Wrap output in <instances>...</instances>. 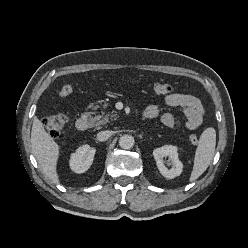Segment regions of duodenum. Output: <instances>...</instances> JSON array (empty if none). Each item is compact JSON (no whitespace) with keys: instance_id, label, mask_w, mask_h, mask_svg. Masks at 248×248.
I'll list each match as a JSON object with an SVG mask.
<instances>
[{"instance_id":"obj_1","label":"duodenum","mask_w":248,"mask_h":248,"mask_svg":"<svg viewBox=\"0 0 248 248\" xmlns=\"http://www.w3.org/2000/svg\"><path fill=\"white\" fill-rule=\"evenodd\" d=\"M95 121V117L91 114H84L82 115L76 123L77 129L79 131H86L90 128L92 123Z\"/></svg>"}]
</instances>
